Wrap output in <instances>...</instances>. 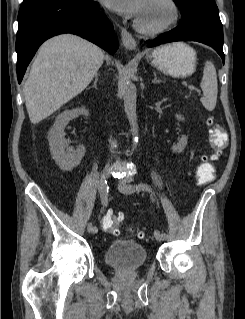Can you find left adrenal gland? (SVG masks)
I'll list each match as a JSON object with an SVG mask.
<instances>
[{
    "label": "left adrenal gland",
    "mask_w": 245,
    "mask_h": 319,
    "mask_svg": "<svg viewBox=\"0 0 245 319\" xmlns=\"http://www.w3.org/2000/svg\"><path fill=\"white\" fill-rule=\"evenodd\" d=\"M161 82H162V80L157 79L156 72H154V78L152 80V83H161Z\"/></svg>",
    "instance_id": "1"
}]
</instances>
